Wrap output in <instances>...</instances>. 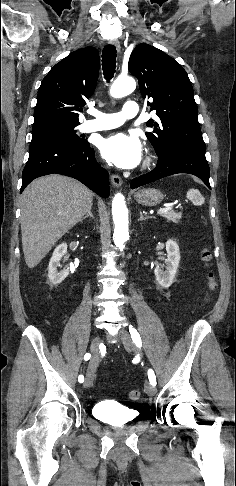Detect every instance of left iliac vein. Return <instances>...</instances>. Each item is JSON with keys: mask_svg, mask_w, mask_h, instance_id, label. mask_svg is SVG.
Masks as SVG:
<instances>
[{"mask_svg": "<svg viewBox=\"0 0 236 486\" xmlns=\"http://www.w3.org/2000/svg\"><path fill=\"white\" fill-rule=\"evenodd\" d=\"M119 336H120V339H121V341H122V343H123L124 347H125L127 350H134V351H136V352H137V353H138L140 356H142V352H141V350H139V349H138V348L135 346V344H134V342H133V340H132V338H131V336H130V334H129V332H128L127 330H125V329H121V331H120V333H119ZM145 392H146V394H147L148 396H154V395L156 394V388H155V386H153L151 383L146 382V383H145Z\"/></svg>", "mask_w": 236, "mask_h": 486, "instance_id": "left-iliac-vein-1", "label": "left iliac vein"}]
</instances>
